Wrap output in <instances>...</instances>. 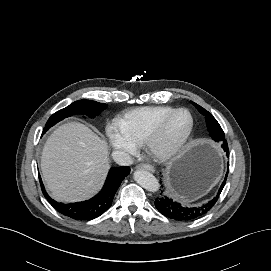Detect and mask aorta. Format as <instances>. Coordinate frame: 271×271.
<instances>
[{"label": "aorta", "instance_id": "aorta-1", "mask_svg": "<svg viewBox=\"0 0 271 271\" xmlns=\"http://www.w3.org/2000/svg\"><path fill=\"white\" fill-rule=\"evenodd\" d=\"M134 180L147 191L156 192L159 190L160 184L157 178L146 170H136Z\"/></svg>", "mask_w": 271, "mask_h": 271}]
</instances>
